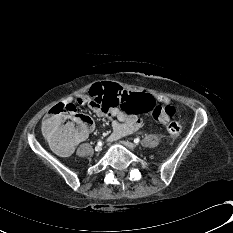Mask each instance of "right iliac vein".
Here are the masks:
<instances>
[{
	"instance_id": "1",
	"label": "right iliac vein",
	"mask_w": 233,
	"mask_h": 233,
	"mask_svg": "<svg viewBox=\"0 0 233 233\" xmlns=\"http://www.w3.org/2000/svg\"><path fill=\"white\" fill-rule=\"evenodd\" d=\"M101 150H102L101 146L98 145V146L95 147V151L100 152Z\"/></svg>"
}]
</instances>
